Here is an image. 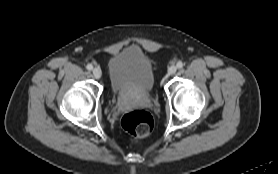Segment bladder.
<instances>
[{"label": "bladder", "mask_w": 278, "mask_h": 174, "mask_svg": "<svg viewBox=\"0 0 278 174\" xmlns=\"http://www.w3.org/2000/svg\"><path fill=\"white\" fill-rule=\"evenodd\" d=\"M108 72L113 94L120 99L149 97L154 88L150 60L136 47H127L112 56Z\"/></svg>", "instance_id": "31cf9c89"}]
</instances>
